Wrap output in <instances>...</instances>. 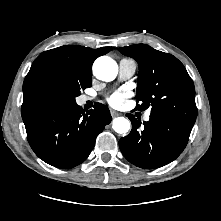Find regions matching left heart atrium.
<instances>
[{
  "label": "left heart atrium",
  "instance_id": "obj_1",
  "mask_svg": "<svg viewBox=\"0 0 221 221\" xmlns=\"http://www.w3.org/2000/svg\"><path fill=\"white\" fill-rule=\"evenodd\" d=\"M124 97L123 94L115 93L110 96L108 102L112 107L118 108L122 105Z\"/></svg>",
  "mask_w": 221,
  "mask_h": 221
}]
</instances>
